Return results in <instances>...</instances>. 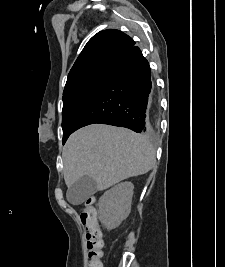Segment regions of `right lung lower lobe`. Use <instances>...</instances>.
Wrapping results in <instances>:
<instances>
[{
  "label": "right lung lower lobe",
  "mask_w": 225,
  "mask_h": 267,
  "mask_svg": "<svg viewBox=\"0 0 225 267\" xmlns=\"http://www.w3.org/2000/svg\"><path fill=\"white\" fill-rule=\"evenodd\" d=\"M151 91L149 63L140 48L133 46L113 63L79 113L73 132L94 123L125 127L137 133L147 132Z\"/></svg>",
  "instance_id": "1"
}]
</instances>
